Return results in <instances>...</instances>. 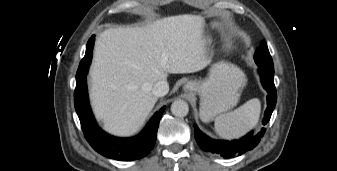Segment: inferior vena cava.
Listing matches in <instances>:
<instances>
[{
  "instance_id": "inferior-vena-cava-1",
  "label": "inferior vena cava",
  "mask_w": 337,
  "mask_h": 171,
  "mask_svg": "<svg viewBox=\"0 0 337 171\" xmlns=\"http://www.w3.org/2000/svg\"><path fill=\"white\" fill-rule=\"evenodd\" d=\"M169 91V85L166 81H158L152 87V93L156 97L165 96Z\"/></svg>"
}]
</instances>
